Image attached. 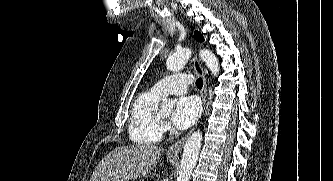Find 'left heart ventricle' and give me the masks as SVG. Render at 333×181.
Masks as SVG:
<instances>
[{"instance_id":"1","label":"left heart ventricle","mask_w":333,"mask_h":181,"mask_svg":"<svg viewBox=\"0 0 333 181\" xmlns=\"http://www.w3.org/2000/svg\"><path fill=\"white\" fill-rule=\"evenodd\" d=\"M171 112H172L171 109L164 110V111L160 112V115L162 118L167 119L171 115Z\"/></svg>"}]
</instances>
